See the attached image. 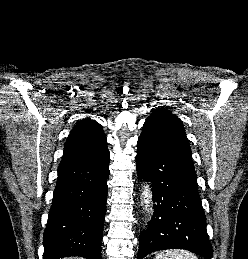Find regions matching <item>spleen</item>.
Wrapping results in <instances>:
<instances>
[{
	"instance_id": "obj_1",
	"label": "spleen",
	"mask_w": 248,
	"mask_h": 259,
	"mask_svg": "<svg viewBox=\"0 0 248 259\" xmlns=\"http://www.w3.org/2000/svg\"><path fill=\"white\" fill-rule=\"evenodd\" d=\"M154 259H198L195 254L187 250H166L159 252Z\"/></svg>"
}]
</instances>
